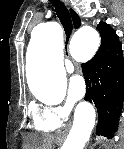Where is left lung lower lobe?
Instances as JSON below:
<instances>
[{
  "label": "left lung lower lobe",
  "instance_id": "left-lung-lower-lobe-1",
  "mask_svg": "<svg viewBox=\"0 0 124 149\" xmlns=\"http://www.w3.org/2000/svg\"><path fill=\"white\" fill-rule=\"evenodd\" d=\"M124 58L116 33L101 35L95 56L82 64L86 81L85 100L93 102L98 112L97 135L114 136L124 101Z\"/></svg>",
  "mask_w": 124,
  "mask_h": 149
}]
</instances>
